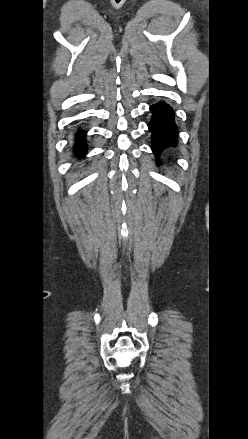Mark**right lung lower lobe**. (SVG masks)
<instances>
[{"instance_id":"98d812e1","label":"right lung lower lobe","mask_w":248,"mask_h":439,"mask_svg":"<svg viewBox=\"0 0 248 439\" xmlns=\"http://www.w3.org/2000/svg\"><path fill=\"white\" fill-rule=\"evenodd\" d=\"M86 132L77 130L75 133V145H74V152L75 155L78 157L85 156L87 150H86V141H85Z\"/></svg>"}]
</instances>
